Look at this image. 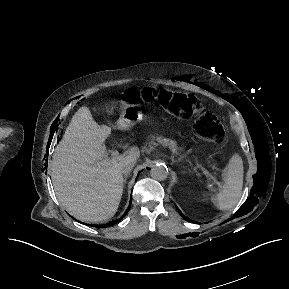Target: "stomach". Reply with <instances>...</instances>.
I'll use <instances>...</instances> for the list:
<instances>
[{
    "label": "stomach",
    "mask_w": 289,
    "mask_h": 289,
    "mask_svg": "<svg viewBox=\"0 0 289 289\" xmlns=\"http://www.w3.org/2000/svg\"><path fill=\"white\" fill-rule=\"evenodd\" d=\"M140 117V112L133 111L131 108L126 107L122 110L121 117L117 122V127L119 129H129L136 124Z\"/></svg>",
    "instance_id": "obj_1"
}]
</instances>
